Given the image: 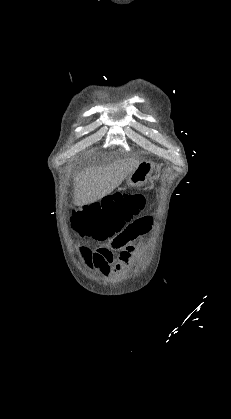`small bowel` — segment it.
Wrapping results in <instances>:
<instances>
[{
	"label": "small bowel",
	"mask_w": 231,
	"mask_h": 419,
	"mask_svg": "<svg viewBox=\"0 0 231 419\" xmlns=\"http://www.w3.org/2000/svg\"><path fill=\"white\" fill-rule=\"evenodd\" d=\"M152 224L151 217L140 218L126 225L106 246L93 252L82 249L85 264L95 268L103 276L120 273L130 264L135 255L134 240L148 232ZM114 251H119V263L112 269L111 265L115 259Z\"/></svg>",
	"instance_id": "obj_1"
}]
</instances>
